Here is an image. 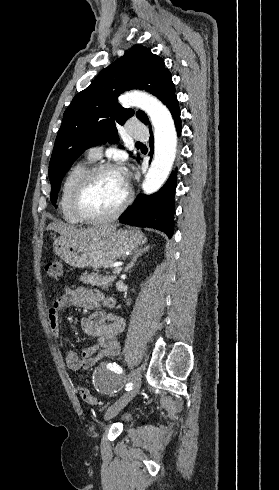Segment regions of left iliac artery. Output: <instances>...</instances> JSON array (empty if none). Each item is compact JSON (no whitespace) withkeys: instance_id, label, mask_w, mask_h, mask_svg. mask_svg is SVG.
Listing matches in <instances>:
<instances>
[{"instance_id":"left-iliac-artery-1","label":"left iliac artery","mask_w":279,"mask_h":490,"mask_svg":"<svg viewBox=\"0 0 279 490\" xmlns=\"http://www.w3.org/2000/svg\"><path fill=\"white\" fill-rule=\"evenodd\" d=\"M108 368L118 374L122 372V368L119 365H117L115 362L113 364L110 363L108 365Z\"/></svg>"}]
</instances>
